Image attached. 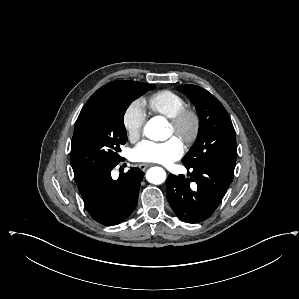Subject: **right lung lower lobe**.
Listing matches in <instances>:
<instances>
[{"instance_id": "1", "label": "right lung lower lobe", "mask_w": 299, "mask_h": 299, "mask_svg": "<svg viewBox=\"0 0 299 299\" xmlns=\"http://www.w3.org/2000/svg\"><path fill=\"white\" fill-rule=\"evenodd\" d=\"M116 165L93 173L77 183L88 213L103 225L118 224L132 213L144 176L139 168L132 167L113 180L110 172Z\"/></svg>"}]
</instances>
